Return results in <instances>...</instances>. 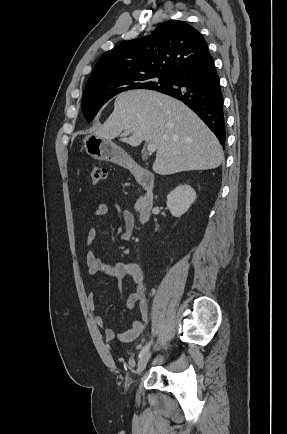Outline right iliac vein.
Segmentation results:
<instances>
[{"instance_id": "1", "label": "right iliac vein", "mask_w": 287, "mask_h": 434, "mask_svg": "<svg viewBox=\"0 0 287 434\" xmlns=\"http://www.w3.org/2000/svg\"><path fill=\"white\" fill-rule=\"evenodd\" d=\"M151 357V352L147 351L139 360L138 365H137V374L140 375L143 370L145 369L149 359Z\"/></svg>"}]
</instances>
